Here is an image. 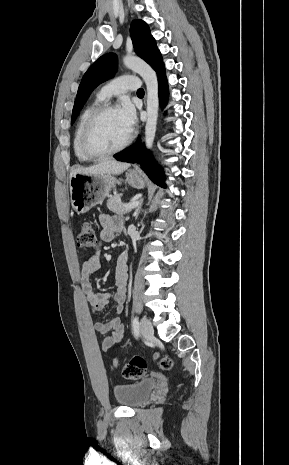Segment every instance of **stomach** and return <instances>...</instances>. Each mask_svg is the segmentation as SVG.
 I'll return each instance as SVG.
<instances>
[{"mask_svg": "<svg viewBox=\"0 0 289 465\" xmlns=\"http://www.w3.org/2000/svg\"><path fill=\"white\" fill-rule=\"evenodd\" d=\"M126 181L135 188H142L144 180L139 172L126 173ZM117 183L113 175H87L76 174L70 177L71 205L75 212L83 214L92 207L101 204L110 190Z\"/></svg>", "mask_w": 289, "mask_h": 465, "instance_id": "obj_1", "label": "stomach"}]
</instances>
